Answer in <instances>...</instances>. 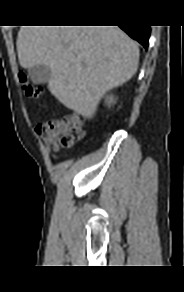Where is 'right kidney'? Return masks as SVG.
<instances>
[{
	"instance_id": "1",
	"label": "right kidney",
	"mask_w": 184,
	"mask_h": 292,
	"mask_svg": "<svg viewBox=\"0 0 184 292\" xmlns=\"http://www.w3.org/2000/svg\"><path fill=\"white\" fill-rule=\"evenodd\" d=\"M106 102H107L109 105H110L111 103H114V98H113V96H109V97H107Z\"/></svg>"
}]
</instances>
